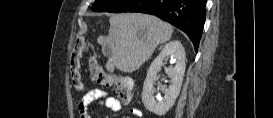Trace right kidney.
<instances>
[{
	"label": "right kidney",
	"instance_id": "ca27d5eb",
	"mask_svg": "<svg viewBox=\"0 0 273 118\" xmlns=\"http://www.w3.org/2000/svg\"><path fill=\"white\" fill-rule=\"evenodd\" d=\"M168 56L171 57L170 62L174 63L173 67L165 69L170 78V85L163 90V97L156 98L153 85L159 79L157 73ZM185 59V50L179 41H171L163 47L160 54L150 65L144 81L142 101L147 110L157 115H164L174 105L182 86L186 66Z\"/></svg>",
	"mask_w": 273,
	"mask_h": 118
}]
</instances>
